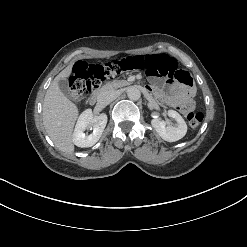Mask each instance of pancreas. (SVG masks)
I'll return each mask as SVG.
<instances>
[{
	"label": "pancreas",
	"instance_id": "1",
	"mask_svg": "<svg viewBox=\"0 0 247 247\" xmlns=\"http://www.w3.org/2000/svg\"><path fill=\"white\" fill-rule=\"evenodd\" d=\"M129 84H130V82H128L126 80H114L113 82L107 83L106 85L101 87L98 92L101 93L105 90L116 89V88H120V87L129 85Z\"/></svg>",
	"mask_w": 247,
	"mask_h": 247
}]
</instances>
